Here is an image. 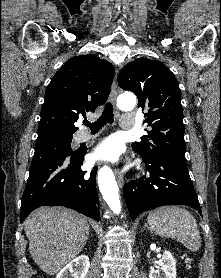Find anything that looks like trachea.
<instances>
[{
  "mask_svg": "<svg viewBox=\"0 0 221 278\" xmlns=\"http://www.w3.org/2000/svg\"><path fill=\"white\" fill-rule=\"evenodd\" d=\"M114 121V114H113V106L110 102L105 104L104 111L102 115L95 121L94 123H90L89 121L85 120L83 122L84 125L88 126L91 131L95 132L100 130L104 125L107 123H113Z\"/></svg>",
  "mask_w": 221,
  "mask_h": 278,
  "instance_id": "1",
  "label": "trachea"
}]
</instances>
